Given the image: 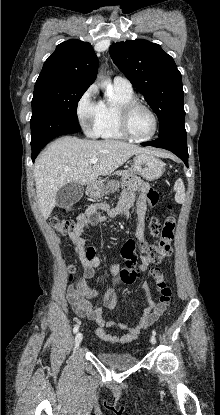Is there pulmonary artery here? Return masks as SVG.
I'll return each mask as SVG.
<instances>
[{
  "mask_svg": "<svg viewBox=\"0 0 220 415\" xmlns=\"http://www.w3.org/2000/svg\"><path fill=\"white\" fill-rule=\"evenodd\" d=\"M113 86L115 89L120 90V91H125V92L132 91V86L129 80L121 76H116L113 79Z\"/></svg>",
  "mask_w": 220,
  "mask_h": 415,
  "instance_id": "obj_1",
  "label": "pulmonary artery"
}]
</instances>
